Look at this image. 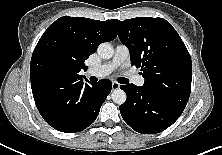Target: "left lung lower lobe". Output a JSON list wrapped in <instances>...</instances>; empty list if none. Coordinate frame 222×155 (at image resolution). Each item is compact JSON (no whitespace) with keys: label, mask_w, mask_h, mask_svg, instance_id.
I'll return each instance as SVG.
<instances>
[{"label":"left lung lower lobe","mask_w":222,"mask_h":155,"mask_svg":"<svg viewBox=\"0 0 222 155\" xmlns=\"http://www.w3.org/2000/svg\"><path fill=\"white\" fill-rule=\"evenodd\" d=\"M127 100L120 105L124 121L142 134L159 133L171 126L182 114L186 102L146 90L134 84L121 85Z\"/></svg>","instance_id":"0a47b994"}]
</instances>
